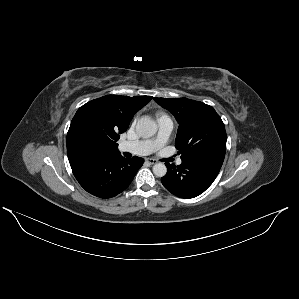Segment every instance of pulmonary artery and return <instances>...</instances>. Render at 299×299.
<instances>
[{
    "label": "pulmonary artery",
    "instance_id": "e3ab8cb5",
    "mask_svg": "<svg viewBox=\"0 0 299 299\" xmlns=\"http://www.w3.org/2000/svg\"><path fill=\"white\" fill-rule=\"evenodd\" d=\"M173 131V121L169 116H162L158 119V133L152 140L122 142L119 144L121 152H130L135 155H147L155 151V149L165 144ZM182 163L181 159L177 160V164Z\"/></svg>",
    "mask_w": 299,
    "mask_h": 299
}]
</instances>
